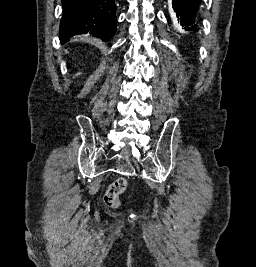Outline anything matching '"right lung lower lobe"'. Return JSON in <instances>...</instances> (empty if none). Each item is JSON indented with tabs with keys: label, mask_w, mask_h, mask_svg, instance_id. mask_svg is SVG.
<instances>
[{
	"label": "right lung lower lobe",
	"mask_w": 256,
	"mask_h": 267,
	"mask_svg": "<svg viewBox=\"0 0 256 267\" xmlns=\"http://www.w3.org/2000/svg\"><path fill=\"white\" fill-rule=\"evenodd\" d=\"M60 41L80 34H94L104 41L116 32L115 0H62Z\"/></svg>",
	"instance_id": "right-lung-lower-lobe-1"
}]
</instances>
